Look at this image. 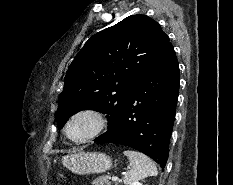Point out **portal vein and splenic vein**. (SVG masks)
Returning <instances> with one entry per match:
<instances>
[{
  "mask_svg": "<svg viewBox=\"0 0 233 185\" xmlns=\"http://www.w3.org/2000/svg\"><path fill=\"white\" fill-rule=\"evenodd\" d=\"M109 179H111L112 181H117V180H118V177L113 176V177H111V178H109Z\"/></svg>",
  "mask_w": 233,
  "mask_h": 185,
  "instance_id": "obj_1",
  "label": "portal vein and splenic vein"
}]
</instances>
